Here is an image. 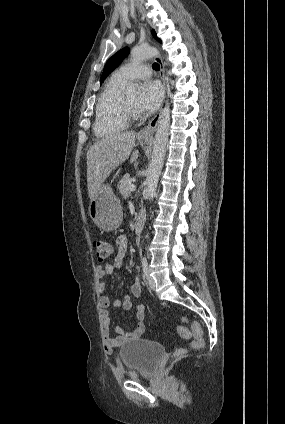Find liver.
Masks as SVG:
<instances>
[{
	"mask_svg": "<svg viewBox=\"0 0 285 424\" xmlns=\"http://www.w3.org/2000/svg\"><path fill=\"white\" fill-rule=\"evenodd\" d=\"M135 146V132H117L94 143L87 151V187L92 200L104 181L121 163L131 156V163L139 155Z\"/></svg>",
	"mask_w": 285,
	"mask_h": 424,
	"instance_id": "1",
	"label": "liver"
}]
</instances>
